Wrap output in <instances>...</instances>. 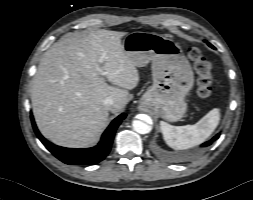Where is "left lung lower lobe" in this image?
<instances>
[{"mask_svg": "<svg viewBox=\"0 0 253 200\" xmlns=\"http://www.w3.org/2000/svg\"><path fill=\"white\" fill-rule=\"evenodd\" d=\"M218 138H219V134H217L216 136H214L211 140H209V141L203 143L200 147H201V148L207 147V146L211 145L212 142L215 141V140L218 139Z\"/></svg>", "mask_w": 253, "mask_h": 200, "instance_id": "0a47b994", "label": "left lung lower lobe"}]
</instances>
